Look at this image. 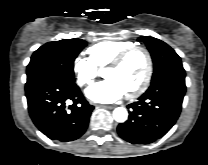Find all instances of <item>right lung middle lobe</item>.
Masks as SVG:
<instances>
[{
  "label": "right lung middle lobe",
  "mask_w": 208,
  "mask_h": 165,
  "mask_svg": "<svg viewBox=\"0 0 208 165\" xmlns=\"http://www.w3.org/2000/svg\"><path fill=\"white\" fill-rule=\"evenodd\" d=\"M87 42L81 39H64L48 42L36 50L27 66L29 84L41 77L56 76L74 82L73 63Z\"/></svg>",
  "instance_id": "dd1d6c3e"
}]
</instances>
